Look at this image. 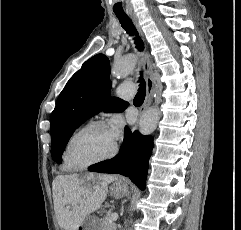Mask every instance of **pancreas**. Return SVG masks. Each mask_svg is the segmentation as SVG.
Instances as JSON below:
<instances>
[{
	"instance_id": "pancreas-1",
	"label": "pancreas",
	"mask_w": 241,
	"mask_h": 230,
	"mask_svg": "<svg viewBox=\"0 0 241 230\" xmlns=\"http://www.w3.org/2000/svg\"><path fill=\"white\" fill-rule=\"evenodd\" d=\"M100 230H116V224L111 219V216H106L101 221Z\"/></svg>"
}]
</instances>
